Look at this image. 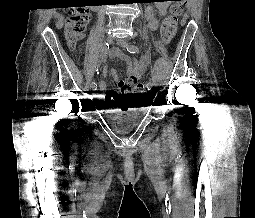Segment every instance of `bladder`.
<instances>
[{
    "instance_id": "bladder-1",
    "label": "bladder",
    "mask_w": 255,
    "mask_h": 218,
    "mask_svg": "<svg viewBox=\"0 0 255 218\" xmlns=\"http://www.w3.org/2000/svg\"><path fill=\"white\" fill-rule=\"evenodd\" d=\"M119 117H120L119 115L111 116L112 119H117ZM137 122H138L137 117L135 116V114H132L126 117L125 119L118 120L115 123L114 127H115V130L118 132H126L132 129Z\"/></svg>"
}]
</instances>
